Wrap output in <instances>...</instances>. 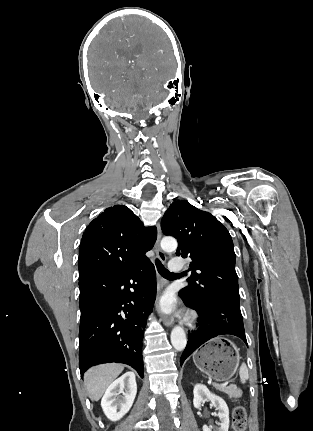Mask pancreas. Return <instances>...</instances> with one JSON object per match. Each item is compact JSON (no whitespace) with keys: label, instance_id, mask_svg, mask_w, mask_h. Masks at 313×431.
<instances>
[{"label":"pancreas","instance_id":"obj_1","mask_svg":"<svg viewBox=\"0 0 313 431\" xmlns=\"http://www.w3.org/2000/svg\"><path fill=\"white\" fill-rule=\"evenodd\" d=\"M216 388L219 391L226 393L230 398L238 397L242 393L241 390L238 389L235 385H230V386L218 385Z\"/></svg>","mask_w":313,"mask_h":431}]
</instances>
